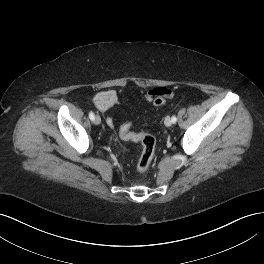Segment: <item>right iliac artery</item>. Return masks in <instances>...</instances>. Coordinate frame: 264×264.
<instances>
[{"label":"right iliac artery","mask_w":264,"mask_h":264,"mask_svg":"<svg viewBox=\"0 0 264 264\" xmlns=\"http://www.w3.org/2000/svg\"><path fill=\"white\" fill-rule=\"evenodd\" d=\"M89 118L91 121H94L95 116L93 112H89Z\"/></svg>","instance_id":"right-iliac-artery-1"}]
</instances>
